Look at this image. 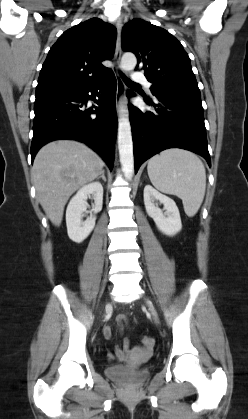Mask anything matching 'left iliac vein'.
I'll list each match as a JSON object with an SVG mask.
<instances>
[{"instance_id":"obj_1","label":"left iliac vein","mask_w":248,"mask_h":419,"mask_svg":"<svg viewBox=\"0 0 248 419\" xmlns=\"http://www.w3.org/2000/svg\"><path fill=\"white\" fill-rule=\"evenodd\" d=\"M147 304L149 306V310L153 316V319L155 320L156 323H158V317H157V313L154 309V307L152 306V304L150 303V301L147 300Z\"/></svg>"}]
</instances>
